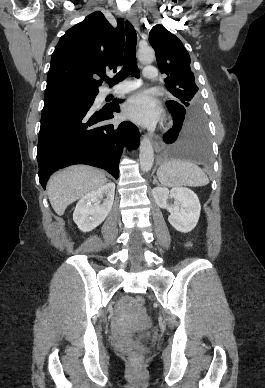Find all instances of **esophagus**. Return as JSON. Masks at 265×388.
<instances>
[{"instance_id":"34e87169","label":"esophagus","mask_w":265,"mask_h":388,"mask_svg":"<svg viewBox=\"0 0 265 388\" xmlns=\"http://www.w3.org/2000/svg\"><path fill=\"white\" fill-rule=\"evenodd\" d=\"M126 17H127V20L131 22L132 25H134L136 31L139 32V22L135 11H132V10L128 11ZM150 138L153 140L156 151H161L164 148V144L162 140L159 139V137L150 133Z\"/></svg>"}]
</instances>
